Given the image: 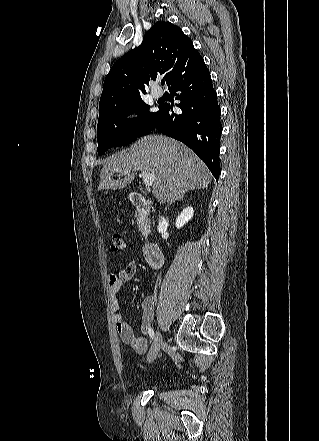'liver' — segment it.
<instances>
[{"mask_svg":"<svg viewBox=\"0 0 319 441\" xmlns=\"http://www.w3.org/2000/svg\"><path fill=\"white\" fill-rule=\"evenodd\" d=\"M143 170L155 175L152 193L160 202L183 199L188 190L206 188L212 175L206 165L184 144L162 135H148L134 143L126 153L110 156L100 174L98 190L126 187L133 179L131 172ZM114 180L115 173H124Z\"/></svg>","mask_w":319,"mask_h":441,"instance_id":"obj_1","label":"liver"}]
</instances>
